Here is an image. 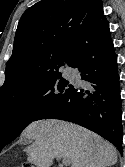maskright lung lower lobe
I'll return each mask as SVG.
<instances>
[{
  "label": "right lung lower lobe",
  "instance_id": "obj_1",
  "mask_svg": "<svg viewBox=\"0 0 125 167\" xmlns=\"http://www.w3.org/2000/svg\"><path fill=\"white\" fill-rule=\"evenodd\" d=\"M86 88L44 108L33 121L60 119L79 124L111 142L122 154V111L117 58L109 28L83 51L78 64Z\"/></svg>",
  "mask_w": 125,
  "mask_h": 167
}]
</instances>
